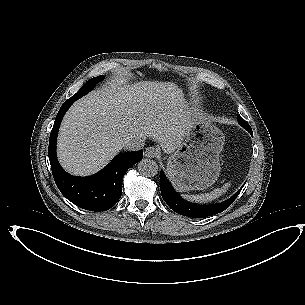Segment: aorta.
Listing matches in <instances>:
<instances>
[{
  "label": "aorta",
  "instance_id": "762f6f07",
  "mask_svg": "<svg viewBox=\"0 0 305 305\" xmlns=\"http://www.w3.org/2000/svg\"><path fill=\"white\" fill-rule=\"evenodd\" d=\"M138 171L145 177H154L158 174V165L154 160L145 158L138 162Z\"/></svg>",
  "mask_w": 305,
  "mask_h": 305
}]
</instances>
